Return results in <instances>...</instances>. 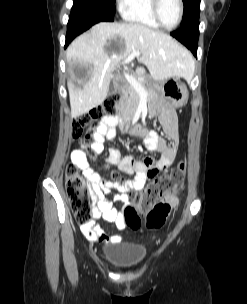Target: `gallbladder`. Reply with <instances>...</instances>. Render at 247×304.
<instances>
[{"label": "gallbladder", "mask_w": 247, "mask_h": 304, "mask_svg": "<svg viewBox=\"0 0 247 304\" xmlns=\"http://www.w3.org/2000/svg\"><path fill=\"white\" fill-rule=\"evenodd\" d=\"M109 89H110V91H113V90H114L113 84L110 85V88H109Z\"/></svg>", "instance_id": "gallbladder-1"}]
</instances>
